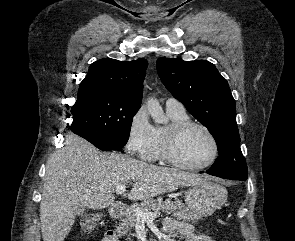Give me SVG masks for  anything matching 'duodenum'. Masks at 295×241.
I'll list each match as a JSON object with an SVG mask.
<instances>
[{"label":"duodenum","mask_w":295,"mask_h":241,"mask_svg":"<svg viewBox=\"0 0 295 241\" xmlns=\"http://www.w3.org/2000/svg\"><path fill=\"white\" fill-rule=\"evenodd\" d=\"M124 205L122 203H113L110 206V215L113 218H118L123 214Z\"/></svg>","instance_id":"1"}]
</instances>
